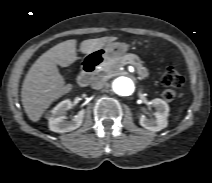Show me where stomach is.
<instances>
[{"mask_svg": "<svg viewBox=\"0 0 212 183\" xmlns=\"http://www.w3.org/2000/svg\"><path fill=\"white\" fill-rule=\"evenodd\" d=\"M130 46L123 42H109L102 50V56L106 59L123 56Z\"/></svg>", "mask_w": 212, "mask_h": 183, "instance_id": "stomach-1", "label": "stomach"}]
</instances>
